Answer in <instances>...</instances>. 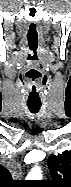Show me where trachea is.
Returning <instances> with one entry per match:
<instances>
[{
  "mask_svg": "<svg viewBox=\"0 0 71 187\" xmlns=\"http://www.w3.org/2000/svg\"><path fill=\"white\" fill-rule=\"evenodd\" d=\"M40 107H41V105H32V104L28 105L30 112L34 113V114L38 113Z\"/></svg>",
  "mask_w": 71,
  "mask_h": 187,
  "instance_id": "1",
  "label": "trachea"
}]
</instances>
